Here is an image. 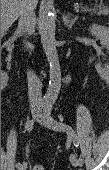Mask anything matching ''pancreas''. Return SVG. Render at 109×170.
Returning a JSON list of instances; mask_svg holds the SVG:
<instances>
[{
	"label": "pancreas",
	"instance_id": "cf45deb5",
	"mask_svg": "<svg viewBox=\"0 0 109 170\" xmlns=\"http://www.w3.org/2000/svg\"><path fill=\"white\" fill-rule=\"evenodd\" d=\"M83 10H86V8H83ZM88 11H92L96 13L97 15H108L109 14V8L108 6L100 5L98 8H94Z\"/></svg>",
	"mask_w": 109,
	"mask_h": 170
}]
</instances>
